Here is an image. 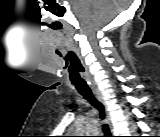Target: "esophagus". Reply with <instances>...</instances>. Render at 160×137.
<instances>
[{"instance_id":"esophagus-1","label":"esophagus","mask_w":160,"mask_h":137,"mask_svg":"<svg viewBox=\"0 0 160 137\" xmlns=\"http://www.w3.org/2000/svg\"><path fill=\"white\" fill-rule=\"evenodd\" d=\"M94 95L97 98V100L105 107L106 121H107V124L109 125V128L112 130V124H111L110 116H109V113L107 112V109H106V106H105V103H104V100H103V97H102L101 93L100 92H94Z\"/></svg>"}]
</instances>
